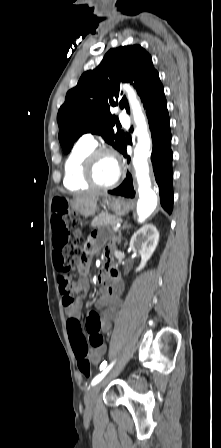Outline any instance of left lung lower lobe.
Masks as SVG:
<instances>
[{"instance_id": "0a47b994", "label": "left lung lower lobe", "mask_w": 221, "mask_h": 448, "mask_svg": "<svg viewBox=\"0 0 221 448\" xmlns=\"http://www.w3.org/2000/svg\"><path fill=\"white\" fill-rule=\"evenodd\" d=\"M143 106L146 109L153 140L151 161L155 179L160 189V203L164 210L171 214L173 208V153L171 150L170 119L164 95V88H158L150 93L145 98ZM126 147L127 144L125 142L120 150L125 157H127ZM129 161L130 158L128 157V162ZM109 193L133 198L135 196V191L133 190L132 176L127 173V177L123 183L118 188L109 191Z\"/></svg>"}]
</instances>
